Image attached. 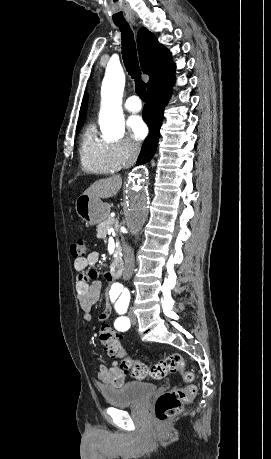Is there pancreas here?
<instances>
[{"label": "pancreas", "mask_w": 271, "mask_h": 459, "mask_svg": "<svg viewBox=\"0 0 271 459\" xmlns=\"http://www.w3.org/2000/svg\"><path fill=\"white\" fill-rule=\"evenodd\" d=\"M100 231L97 233V236L99 238H102L104 235H107V229L109 228H114L118 229V218H108L107 222H103V224H100L99 226Z\"/></svg>", "instance_id": "1"}]
</instances>
